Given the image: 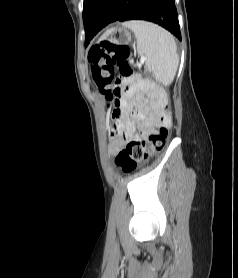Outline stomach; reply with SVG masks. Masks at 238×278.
<instances>
[{
	"label": "stomach",
	"instance_id": "1",
	"mask_svg": "<svg viewBox=\"0 0 238 278\" xmlns=\"http://www.w3.org/2000/svg\"><path fill=\"white\" fill-rule=\"evenodd\" d=\"M105 36L109 37V41L119 45H125L131 42V33L125 27L108 29Z\"/></svg>",
	"mask_w": 238,
	"mask_h": 278
}]
</instances>
